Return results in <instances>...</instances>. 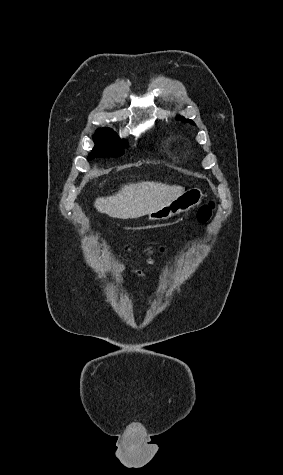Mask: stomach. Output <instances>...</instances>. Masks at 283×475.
<instances>
[{"label":"stomach","instance_id":"1","mask_svg":"<svg viewBox=\"0 0 283 475\" xmlns=\"http://www.w3.org/2000/svg\"><path fill=\"white\" fill-rule=\"evenodd\" d=\"M202 198V190H199V188H191V190H187L182 196H178L176 200L165 204L163 208H159V210H155V212H150V214H148V220H159L160 222V220H168V218H172V216H176V214H181V212H188V210H191L194 206H198Z\"/></svg>","mask_w":283,"mask_h":475}]
</instances>
